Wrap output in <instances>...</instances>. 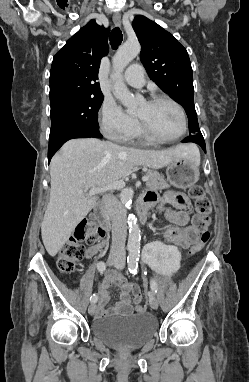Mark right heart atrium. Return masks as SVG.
<instances>
[{
  "label": "right heart atrium",
  "mask_w": 249,
  "mask_h": 382,
  "mask_svg": "<svg viewBox=\"0 0 249 382\" xmlns=\"http://www.w3.org/2000/svg\"><path fill=\"white\" fill-rule=\"evenodd\" d=\"M100 128L112 140L124 142L136 134L139 125L111 99L104 100L100 110Z\"/></svg>",
  "instance_id": "d8ad5b80"
}]
</instances>
